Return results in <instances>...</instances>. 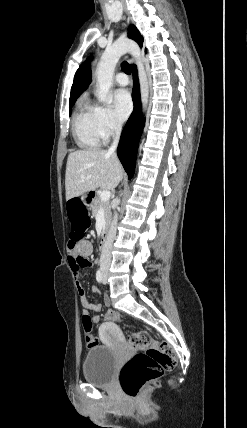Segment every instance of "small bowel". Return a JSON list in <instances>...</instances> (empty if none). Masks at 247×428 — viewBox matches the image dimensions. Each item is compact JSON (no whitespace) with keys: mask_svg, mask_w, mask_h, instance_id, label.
I'll return each instance as SVG.
<instances>
[{"mask_svg":"<svg viewBox=\"0 0 247 428\" xmlns=\"http://www.w3.org/2000/svg\"><path fill=\"white\" fill-rule=\"evenodd\" d=\"M93 252V246L91 242L87 240H83L77 245V255H71L69 254V263L72 268V270L77 273L80 267L77 263V257L84 258L88 260V257ZM89 262V261H88ZM90 266V262L88 264ZM92 291L94 293L98 292L97 287L93 286ZM77 292L79 296V300L81 303V306L83 308V317H88L92 323H98L101 319L99 312L101 311V304L100 303H92L88 301L87 294L85 291V288L83 287L82 283L80 281H77ZM90 312H93V315H90Z\"/></svg>","mask_w":247,"mask_h":428,"instance_id":"1","label":"small bowel"}]
</instances>
